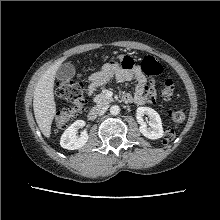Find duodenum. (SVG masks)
<instances>
[{"label":"duodenum","mask_w":220,"mask_h":220,"mask_svg":"<svg viewBox=\"0 0 220 220\" xmlns=\"http://www.w3.org/2000/svg\"><path fill=\"white\" fill-rule=\"evenodd\" d=\"M98 114H99V109L94 107V108L89 110V112L87 114V118L90 121H93V120H95L98 117Z\"/></svg>","instance_id":"1"}]
</instances>
